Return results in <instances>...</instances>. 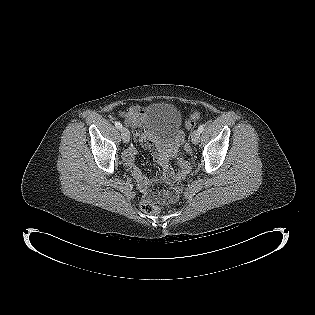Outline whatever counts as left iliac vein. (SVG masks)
<instances>
[{
  "label": "left iliac vein",
  "instance_id": "4c4485c4",
  "mask_svg": "<svg viewBox=\"0 0 315 315\" xmlns=\"http://www.w3.org/2000/svg\"><path fill=\"white\" fill-rule=\"evenodd\" d=\"M191 141L193 144H198L200 141V133L198 132V130L193 131L192 135H191Z\"/></svg>",
  "mask_w": 315,
  "mask_h": 315
}]
</instances>
